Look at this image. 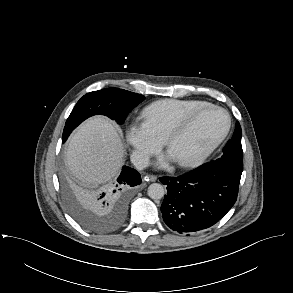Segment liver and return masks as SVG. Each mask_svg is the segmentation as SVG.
Wrapping results in <instances>:
<instances>
[{"label":"liver","mask_w":293,"mask_h":293,"mask_svg":"<svg viewBox=\"0 0 293 293\" xmlns=\"http://www.w3.org/2000/svg\"><path fill=\"white\" fill-rule=\"evenodd\" d=\"M124 155L118 129L108 119L96 116L85 121L71 137L66 163L80 181L96 185L117 175Z\"/></svg>","instance_id":"1"}]
</instances>
